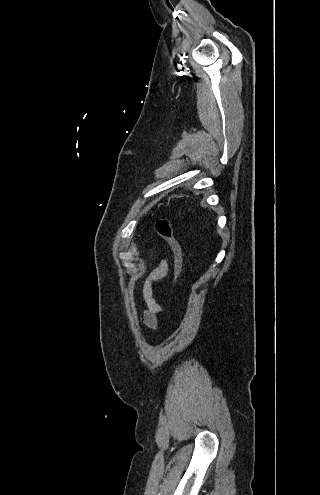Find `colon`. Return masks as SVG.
Instances as JSON below:
<instances>
[{"instance_id": "1", "label": "colon", "mask_w": 320, "mask_h": 495, "mask_svg": "<svg viewBox=\"0 0 320 495\" xmlns=\"http://www.w3.org/2000/svg\"><path fill=\"white\" fill-rule=\"evenodd\" d=\"M156 231L163 237L171 246L174 254V274L173 284L176 286L179 282L183 268V249L179 239L174 234L172 225L167 219H160L156 222Z\"/></svg>"}]
</instances>
